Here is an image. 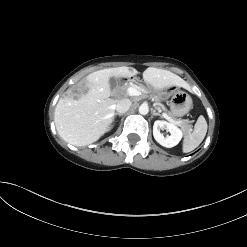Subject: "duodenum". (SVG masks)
Here are the masks:
<instances>
[{
  "label": "duodenum",
  "mask_w": 247,
  "mask_h": 247,
  "mask_svg": "<svg viewBox=\"0 0 247 247\" xmlns=\"http://www.w3.org/2000/svg\"><path fill=\"white\" fill-rule=\"evenodd\" d=\"M130 81H133L134 82V84H136V85H139V86H141V85H143V87L145 88V89H147L149 92L152 90L143 80H141V79H137L136 77H131L130 78Z\"/></svg>",
  "instance_id": "duodenum-1"
}]
</instances>
